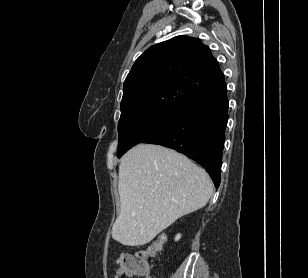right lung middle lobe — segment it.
Returning a JSON list of instances; mask_svg holds the SVG:
<instances>
[{
  "mask_svg": "<svg viewBox=\"0 0 308 278\" xmlns=\"http://www.w3.org/2000/svg\"><path fill=\"white\" fill-rule=\"evenodd\" d=\"M174 109H153L128 116L118 123V154L126 151L162 129L177 115Z\"/></svg>",
  "mask_w": 308,
  "mask_h": 278,
  "instance_id": "right-lung-middle-lobe-1",
  "label": "right lung middle lobe"
}]
</instances>
